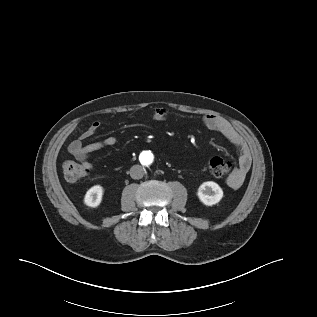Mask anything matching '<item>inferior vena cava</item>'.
Segmentation results:
<instances>
[{"label":"inferior vena cava","mask_w":317,"mask_h":317,"mask_svg":"<svg viewBox=\"0 0 317 317\" xmlns=\"http://www.w3.org/2000/svg\"><path fill=\"white\" fill-rule=\"evenodd\" d=\"M144 175V170L141 165H133L130 169V176L133 179H141Z\"/></svg>","instance_id":"602c4592"}]
</instances>
